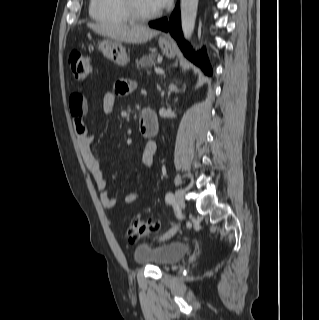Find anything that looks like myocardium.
<instances>
[{
  "label": "myocardium",
  "mask_w": 319,
  "mask_h": 320,
  "mask_svg": "<svg viewBox=\"0 0 319 320\" xmlns=\"http://www.w3.org/2000/svg\"><path fill=\"white\" fill-rule=\"evenodd\" d=\"M123 8L135 22H146L153 20L161 15V11L157 10L152 13H142L137 7L136 0H121Z\"/></svg>",
  "instance_id": "obj_1"
}]
</instances>
